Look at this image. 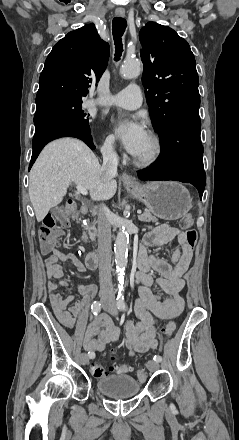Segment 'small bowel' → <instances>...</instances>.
<instances>
[{
    "instance_id": "1",
    "label": "small bowel",
    "mask_w": 239,
    "mask_h": 440,
    "mask_svg": "<svg viewBox=\"0 0 239 440\" xmlns=\"http://www.w3.org/2000/svg\"><path fill=\"white\" fill-rule=\"evenodd\" d=\"M177 239L178 245L172 254V264L165 260L147 254V246L161 247ZM45 258L47 276V289L54 312L59 321L68 328L76 324V317L83 311L85 303H77L67 310V306L74 300L73 295L64 297L57 292L59 288L66 287L62 279V262H72L77 271H85V266L71 253L53 249L46 253ZM193 256V246L189 245L186 233L178 228L163 224L150 228L144 236L138 254V268L135 281L138 285L139 298L135 304V312L140 322L130 321L126 325L125 345L130 354L144 353L157 346L156 323L177 317L184 308L181 291L185 282L183 275L188 269ZM157 271L162 277L155 278L151 271ZM158 286L156 293L152 292V285ZM78 288L90 297L93 290L90 287L78 285ZM120 329L114 324L113 319L106 313L100 314L87 325L83 347L88 352L95 354L104 347L119 339Z\"/></svg>"
}]
</instances>
